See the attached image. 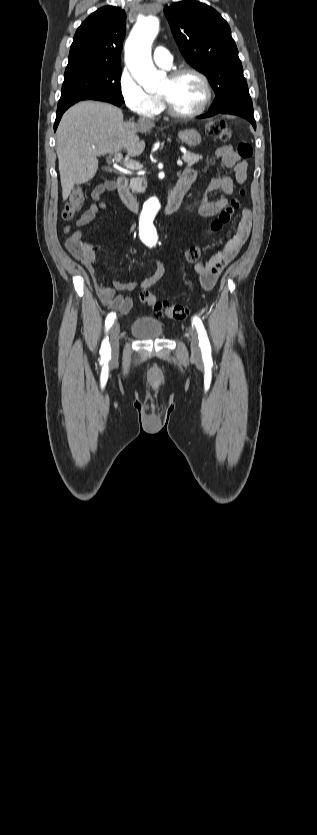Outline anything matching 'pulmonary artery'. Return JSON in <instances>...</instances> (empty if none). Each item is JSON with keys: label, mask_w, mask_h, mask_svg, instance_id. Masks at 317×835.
Returning a JSON list of instances; mask_svg holds the SVG:
<instances>
[{"label": "pulmonary artery", "mask_w": 317, "mask_h": 835, "mask_svg": "<svg viewBox=\"0 0 317 835\" xmlns=\"http://www.w3.org/2000/svg\"><path fill=\"white\" fill-rule=\"evenodd\" d=\"M153 60L154 62L164 68H169L172 65V55L163 46H157L153 51Z\"/></svg>", "instance_id": "obj_1"}]
</instances>
